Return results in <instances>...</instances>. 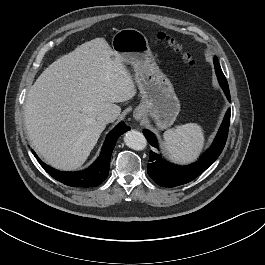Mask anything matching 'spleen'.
Returning a JSON list of instances; mask_svg holds the SVG:
<instances>
[{
	"mask_svg": "<svg viewBox=\"0 0 265 265\" xmlns=\"http://www.w3.org/2000/svg\"><path fill=\"white\" fill-rule=\"evenodd\" d=\"M163 137L167 153L179 163L194 161L202 152L205 143L203 128L196 123L168 129Z\"/></svg>",
	"mask_w": 265,
	"mask_h": 265,
	"instance_id": "spleen-1",
	"label": "spleen"
}]
</instances>
